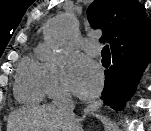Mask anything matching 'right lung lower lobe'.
Here are the masks:
<instances>
[{
  "label": "right lung lower lobe",
  "mask_w": 151,
  "mask_h": 131,
  "mask_svg": "<svg viewBox=\"0 0 151 131\" xmlns=\"http://www.w3.org/2000/svg\"><path fill=\"white\" fill-rule=\"evenodd\" d=\"M150 51V53H149ZM146 53L130 47L112 53L113 65L105 72L102 99L114 110H122L136 91L137 84L151 58V49Z\"/></svg>",
  "instance_id": "1"
}]
</instances>
